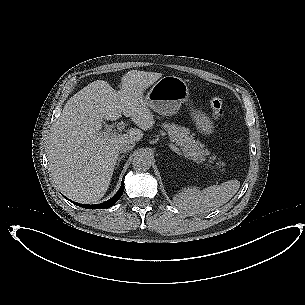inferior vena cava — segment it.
Wrapping results in <instances>:
<instances>
[{"instance_id":"1","label":"inferior vena cava","mask_w":305,"mask_h":305,"mask_svg":"<svg viewBox=\"0 0 305 305\" xmlns=\"http://www.w3.org/2000/svg\"><path fill=\"white\" fill-rule=\"evenodd\" d=\"M135 146V141L133 139H129V138H126V139H122L120 140L119 142V151L120 152H128V151H131Z\"/></svg>"}]
</instances>
